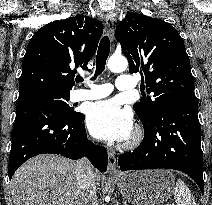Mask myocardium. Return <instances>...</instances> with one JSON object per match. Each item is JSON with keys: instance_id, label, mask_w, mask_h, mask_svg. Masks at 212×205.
<instances>
[{"instance_id": "f54148a6", "label": "myocardium", "mask_w": 212, "mask_h": 205, "mask_svg": "<svg viewBox=\"0 0 212 205\" xmlns=\"http://www.w3.org/2000/svg\"><path fill=\"white\" fill-rule=\"evenodd\" d=\"M143 139V131L141 128H136L131 136L123 143V148H134L138 146Z\"/></svg>"}]
</instances>
